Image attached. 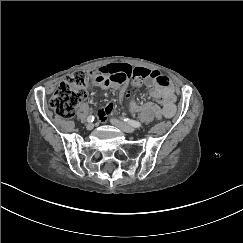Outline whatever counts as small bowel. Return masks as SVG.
I'll use <instances>...</instances> for the list:
<instances>
[{
    "mask_svg": "<svg viewBox=\"0 0 243 243\" xmlns=\"http://www.w3.org/2000/svg\"><path fill=\"white\" fill-rule=\"evenodd\" d=\"M93 84L108 89L123 85L129 77L142 76L148 86L152 87L151 96L162 106L161 112L164 117L170 118L175 114V93L171 81L159 71L136 67L126 63H113L89 72ZM114 111L112 103L106 104L97 111L100 120H105L108 114Z\"/></svg>",
    "mask_w": 243,
    "mask_h": 243,
    "instance_id": "small-bowel-1",
    "label": "small bowel"
}]
</instances>
